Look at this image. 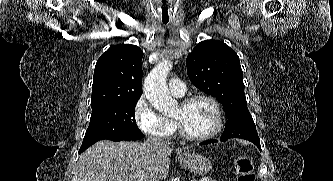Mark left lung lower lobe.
<instances>
[{
    "label": "left lung lower lobe",
    "mask_w": 333,
    "mask_h": 181,
    "mask_svg": "<svg viewBox=\"0 0 333 181\" xmlns=\"http://www.w3.org/2000/svg\"><path fill=\"white\" fill-rule=\"evenodd\" d=\"M230 138H236V137H232L229 134H222L220 140L221 141H227ZM214 142H217V140L204 141V142L200 143V145H206V144H210V143H214ZM252 143H254L261 150L260 141H255V142H252Z\"/></svg>",
    "instance_id": "0a47b994"
}]
</instances>
